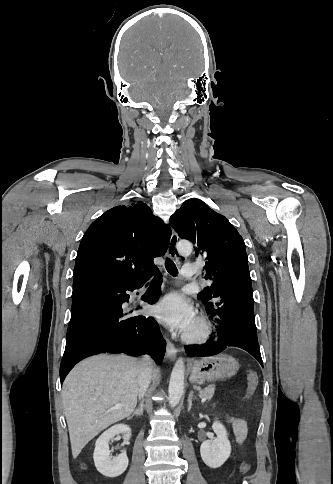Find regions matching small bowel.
Wrapping results in <instances>:
<instances>
[{
    "label": "small bowel",
    "mask_w": 333,
    "mask_h": 484,
    "mask_svg": "<svg viewBox=\"0 0 333 484\" xmlns=\"http://www.w3.org/2000/svg\"><path fill=\"white\" fill-rule=\"evenodd\" d=\"M228 423L232 427L238 444H242L247 437V424L246 421L238 417H227Z\"/></svg>",
    "instance_id": "1"
}]
</instances>
